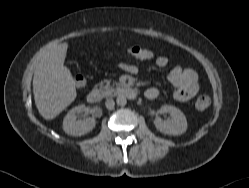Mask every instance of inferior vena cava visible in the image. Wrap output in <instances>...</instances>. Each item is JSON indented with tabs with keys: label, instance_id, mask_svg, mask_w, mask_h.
Returning a JSON list of instances; mask_svg holds the SVG:
<instances>
[{
	"label": "inferior vena cava",
	"instance_id": "obj_1",
	"mask_svg": "<svg viewBox=\"0 0 249 188\" xmlns=\"http://www.w3.org/2000/svg\"><path fill=\"white\" fill-rule=\"evenodd\" d=\"M114 105H115V102H114L113 99H108V100H106V102H105V106H106V108L109 109V110L113 109V108H114Z\"/></svg>",
	"mask_w": 249,
	"mask_h": 188
}]
</instances>
